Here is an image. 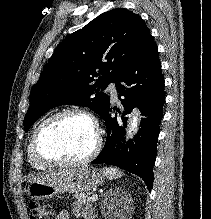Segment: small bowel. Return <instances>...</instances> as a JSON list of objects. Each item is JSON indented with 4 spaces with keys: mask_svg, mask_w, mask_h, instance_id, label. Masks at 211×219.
<instances>
[{
    "mask_svg": "<svg viewBox=\"0 0 211 219\" xmlns=\"http://www.w3.org/2000/svg\"><path fill=\"white\" fill-rule=\"evenodd\" d=\"M73 211L79 219H93L91 212L87 209L74 206ZM56 219H69V213L67 211H62L57 215Z\"/></svg>",
    "mask_w": 211,
    "mask_h": 219,
    "instance_id": "small-bowel-1",
    "label": "small bowel"
}]
</instances>
